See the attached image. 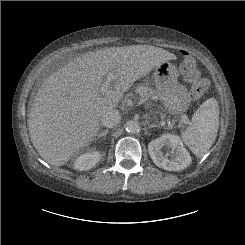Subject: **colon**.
Listing matches in <instances>:
<instances>
[{
    "instance_id": "1",
    "label": "colon",
    "mask_w": 245,
    "mask_h": 245,
    "mask_svg": "<svg viewBox=\"0 0 245 245\" xmlns=\"http://www.w3.org/2000/svg\"><path fill=\"white\" fill-rule=\"evenodd\" d=\"M180 71L189 83V92L192 97L199 98L207 92L209 80L201 75L195 58L188 52L181 53Z\"/></svg>"
}]
</instances>
